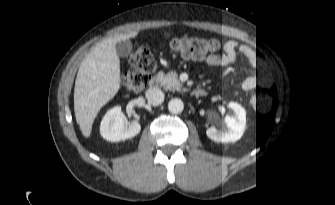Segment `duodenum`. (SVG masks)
I'll use <instances>...</instances> for the list:
<instances>
[{
    "instance_id": "duodenum-1",
    "label": "duodenum",
    "mask_w": 335,
    "mask_h": 205,
    "mask_svg": "<svg viewBox=\"0 0 335 205\" xmlns=\"http://www.w3.org/2000/svg\"><path fill=\"white\" fill-rule=\"evenodd\" d=\"M151 83L153 84V85H155L156 83H157V80L156 79H152V81H151ZM197 93H203V90H201V89H198L197 90Z\"/></svg>"
}]
</instances>
